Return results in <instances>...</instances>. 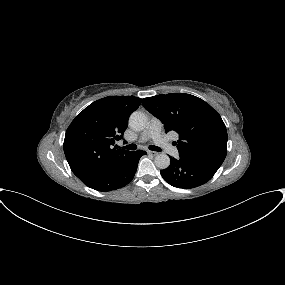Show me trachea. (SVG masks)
Returning <instances> with one entry per match:
<instances>
[{
  "label": "trachea",
  "mask_w": 285,
  "mask_h": 285,
  "mask_svg": "<svg viewBox=\"0 0 285 285\" xmlns=\"http://www.w3.org/2000/svg\"><path fill=\"white\" fill-rule=\"evenodd\" d=\"M123 148L127 150H136L137 146L135 144H130V145L124 146ZM149 149L152 151H158V152L161 151V148L155 145H150Z\"/></svg>",
  "instance_id": "3493384b"
}]
</instances>
